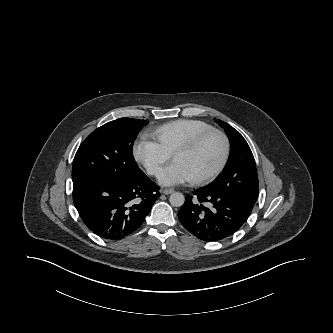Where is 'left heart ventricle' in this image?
Returning <instances> with one entry per match:
<instances>
[{
    "label": "left heart ventricle",
    "instance_id": "1",
    "mask_svg": "<svg viewBox=\"0 0 333 333\" xmlns=\"http://www.w3.org/2000/svg\"><path fill=\"white\" fill-rule=\"evenodd\" d=\"M224 143L219 136H211L191 152L177 155L175 162L182 164L193 178L208 175L221 162Z\"/></svg>",
    "mask_w": 333,
    "mask_h": 333
}]
</instances>
